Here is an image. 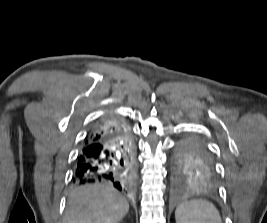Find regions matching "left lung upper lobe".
I'll use <instances>...</instances> for the list:
<instances>
[{
    "mask_svg": "<svg viewBox=\"0 0 267 223\" xmlns=\"http://www.w3.org/2000/svg\"><path fill=\"white\" fill-rule=\"evenodd\" d=\"M177 171H214L212 159L200 141H182L177 157Z\"/></svg>",
    "mask_w": 267,
    "mask_h": 223,
    "instance_id": "obj_1",
    "label": "left lung upper lobe"
}]
</instances>
